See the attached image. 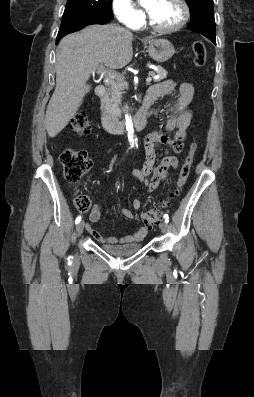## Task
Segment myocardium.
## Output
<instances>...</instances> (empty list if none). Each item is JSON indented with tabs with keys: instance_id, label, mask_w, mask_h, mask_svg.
<instances>
[{
	"instance_id": "obj_1",
	"label": "myocardium",
	"mask_w": 254,
	"mask_h": 397,
	"mask_svg": "<svg viewBox=\"0 0 254 397\" xmlns=\"http://www.w3.org/2000/svg\"><path fill=\"white\" fill-rule=\"evenodd\" d=\"M175 1L179 4V6L181 7V10H182V16H181V19L179 20V22L173 26H170V27H160L154 23L150 14L148 13L147 23L150 28H152L154 31L159 32V33H173V32L180 30L181 28H183L185 26V24L188 21L189 14H190L189 7L184 0H175Z\"/></svg>"
}]
</instances>
